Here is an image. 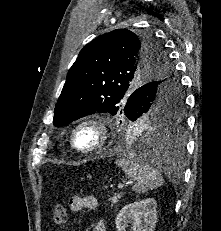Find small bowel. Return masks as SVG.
Instances as JSON below:
<instances>
[{"instance_id":"obj_1","label":"small bowel","mask_w":221,"mask_h":231,"mask_svg":"<svg viewBox=\"0 0 221 231\" xmlns=\"http://www.w3.org/2000/svg\"><path fill=\"white\" fill-rule=\"evenodd\" d=\"M69 207L74 212L82 209L95 211L98 208V202L93 196L74 195L69 199ZM92 231H107L105 223L103 221H97Z\"/></svg>"}]
</instances>
